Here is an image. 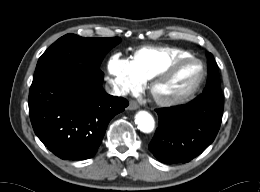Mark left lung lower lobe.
<instances>
[{"label":"left lung lower lobe","mask_w":260,"mask_h":192,"mask_svg":"<svg viewBox=\"0 0 260 192\" xmlns=\"http://www.w3.org/2000/svg\"><path fill=\"white\" fill-rule=\"evenodd\" d=\"M159 126L148 148L166 164L186 163L215 139L223 113L221 92L202 93L192 102L156 110Z\"/></svg>","instance_id":"0a47b994"}]
</instances>
